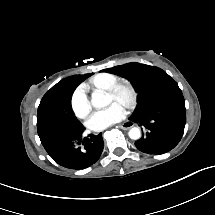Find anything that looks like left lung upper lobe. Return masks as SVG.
Returning a JSON list of instances; mask_svg holds the SVG:
<instances>
[{"instance_id":"left-lung-upper-lobe-1","label":"left lung upper lobe","mask_w":215,"mask_h":215,"mask_svg":"<svg viewBox=\"0 0 215 215\" xmlns=\"http://www.w3.org/2000/svg\"><path fill=\"white\" fill-rule=\"evenodd\" d=\"M103 71L130 78L139 91V103L130 117L145 127L135 146L148 154H162L181 140L186 123L183 94L177 83L162 69L129 63Z\"/></svg>"}]
</instances>
